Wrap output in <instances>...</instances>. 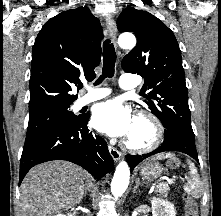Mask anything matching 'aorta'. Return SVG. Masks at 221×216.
Masks as SVG:
<instances>
[{"label": "aorta", "instance_id": "obj_1", "mask_svg": "<svg viewBox=\"0 0 221 216\" xmlns=\"http://www.w3.org/2000/svg\"><path fill=\"white\" fill-rule=\"evenodd\" d=\"M118 44L123 49H132L136 45V39L133 34H121L118 38ZM129 179V166L125 161H121L115 170L111 183V192L114 197H119L126 191Z\"/></svg>", "mask_w": 221, "mask_h": 216}]
</instances>
